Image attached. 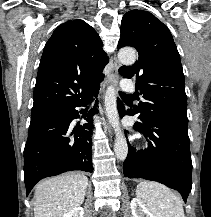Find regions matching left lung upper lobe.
<instances>
[{
	"label": "left lung upper lobe",
	"mask_w": 211,
	"mask_h": 217,
	"mask_svg": "<svg viewBox=\"0 0 211 217\" xmlns=\"http://www.w3.org/2000/svg\"><path fill=\"white\" fill-rule=\"evenodd\" d=\"M125 46L134 47L139 55L132 66L119 69L124 78L136 76V91L143 95L134 114L142 121H162L187 131L185 79L167 26L148 11L131 10L121 23L118 48Z\"/></svg>",
	"instance_id": "obj_1"
}]
</instances>
